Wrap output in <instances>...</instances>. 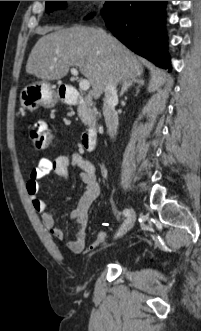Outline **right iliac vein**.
I'll return each mask as SVG.
<instances>
[{
    "mask_svg": "<svg viewBox=\"0 0 201 331\" xmlns=\"http://www.w3.org/2000/svg\"><path fill=\"white\" fill-rule=\"evenodd\" d=\"M129 211H130V213H129L127 219L125 220V223L123 224L122 228L117 233L116 238L121 237L124 234H126L133 227V225L135 223V219H136L135 212L132 208H130Z\"/></svg>",
    "mask_w": 201,
    "mask_h": 331,
    "instance_id": "obj_1",
    "label": "right iliac vein"
}]
</instances>
